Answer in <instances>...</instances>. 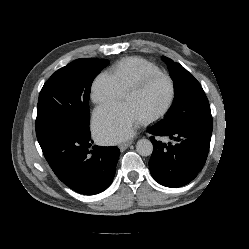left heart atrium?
I'll return each mask as SVG.
<instances>
[{
	"label": "left heart atrium",
	"mask_w": 249,
	"mask_h": 249,
	"mask_svg": "<svg viewBox=\"0 0 249 249\" xmlns=\"http://www.w3.org/2000/svg\"><path fill=\"white\" fill-rule=\"evenodd\" d=\"M140 120L129 104L113 103L95 111L93 130L101 142L117 143L132 136Z\"/></svg>",
	"instance_id": "39dd6f15"
}]
</instances>
